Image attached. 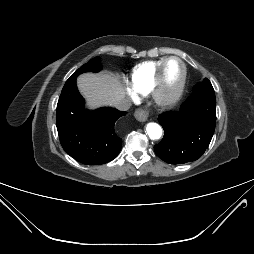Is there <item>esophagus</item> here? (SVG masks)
Instances as JSON below:
<instances>
[{
	"label": "esophagus",
	"mask_w": 254,
	"mask_h": 254,
	"mask_svg": "<svg viewBox=\"0 0 254 254\" xmlns=\"http://www.w3.org/2000/svg\"><path fill=\"white\" fill-rule=\"evenodd\" d=\"M135 118L140 121V122H145L148 120L149 118V113L147 110L142 109V108H138L136 109L135 113H134Z\"/></svg>",
	"instance_id": "34e87169"
}]
</instances>
